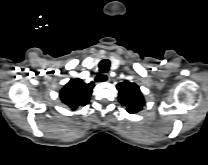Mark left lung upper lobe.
Returning <instances> with one entry per match:
<instances>
[{"label":"left lung upper lobe","mask_w":208,"mask_h":165,"mask_svg":"<svg viewBox=\"0 0 208 165\" xmlns=\"http://www.w3.org/2000/svg\"><path fill=\"white\" fill-rule=\"evenodd\" d=\"M117 89L119 101L129 113L134 114L142 110L145 100L135 83L124 81L117 84Z\"/></svg>","instance_id":"obj_1"}]
</instances>
